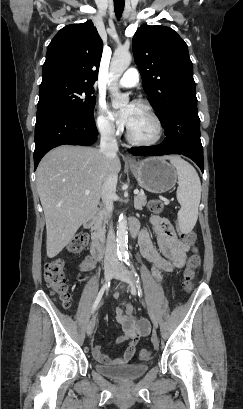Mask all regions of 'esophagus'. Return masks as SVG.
Listing matches in <instances>:
<instances>
[{
    "instance_id": "obj_1",
    "label": "esophagus",
    "mask_w": 243,
    "mask_h": 409,
    "mask_svg": "<svg viewBox=\"0 0 243 409\" xmlns=\"http://www.w3.org/2000/svg\"><path fill=\"white\" fill-rule=\"evenodd\" d=\"M125 160L129 163H134L135 159L131 155H126Z\"/></svg>"
}]
</instances>
